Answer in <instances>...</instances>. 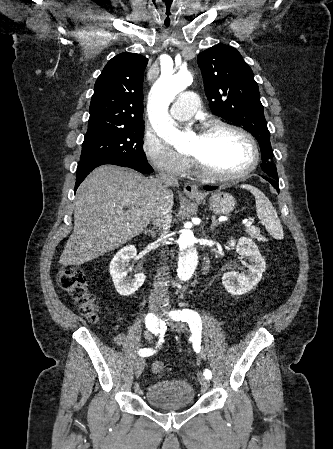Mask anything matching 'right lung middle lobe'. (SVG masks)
<instances>
[{
    "instance_id": "obj_1",
    "label": "right lung middle lobe",
    "mask_w": 333,
    "mask_h": 449,
    "mask_svg": "<svg viewBox=\"0 0 333 449\" xmlns=\"http://www.w3.org/2000/svg\"><path fill=\"white\" fill-rule=\"evenodd\" d=\"M143 123L88 128L80 161L115 159L148 163L143 151Z\"/></svg>"
}]
</instances>
